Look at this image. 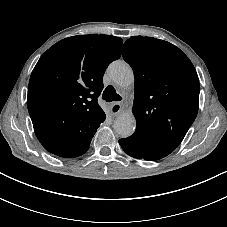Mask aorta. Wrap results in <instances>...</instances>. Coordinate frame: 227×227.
I'll return each instance as SVG.
<instances>
[{
  "mask_svg": "<svg viewBox=\"0 0 227 227\" xmlns=\"http://www.w3.org/2000/svg\"><path fill=\"white\" fill-rule=\"evenodd\" d=\"M108 73L115 84L126 88L134 83L132 68L125 61L116 60L108 67ZM136 121L132 113H122L113 123L115 132L122 138L133 134Z\"/></svg>",
  "mask_w": 227,
  "mask_h": 227,
  "instance_id": "762f6f07",
  "label": "aorta"
}]
</instances>
